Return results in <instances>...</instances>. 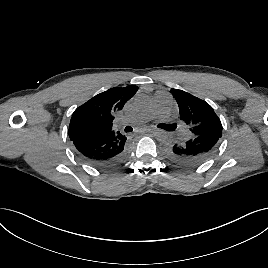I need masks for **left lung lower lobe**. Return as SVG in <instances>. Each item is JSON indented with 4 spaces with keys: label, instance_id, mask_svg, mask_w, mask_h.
<instances>
[{
    "label": "left lung lower lobe",
    "instance_id": "obj_1",
    "mask_svg": "<svg viewBox=\"0 0 268 268\" xmlns=\"http://www.w3.org/2000/svg\"><path fill=\"white\" fill-rule=\"evenodd\" d=\"M220 137L216 135L191 136L185 141L168 145L167 153L185 166H197L207 161L216 151Z\"/></svg>",
    "mask_w": 268,
    "mask_h": 268
}]
</instances>
